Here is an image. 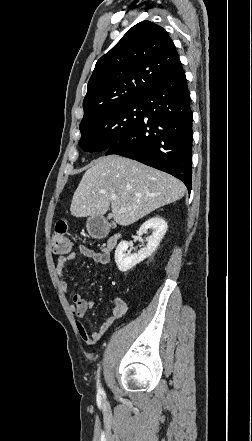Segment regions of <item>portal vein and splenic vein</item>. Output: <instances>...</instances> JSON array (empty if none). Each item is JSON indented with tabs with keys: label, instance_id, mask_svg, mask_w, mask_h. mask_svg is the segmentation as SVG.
I'll return each instance as SVG.
<instances>
[{
	"label": "portal vein and splenic vein",
	"instance_id": "18ae733b",
	"mask_svg": "<svg viewBox=\"0 0 252 441\" xmlns=\"http://www.w3.org/2000/svg\"><path fill=\"white\" fill-rule=\"evenodd\" d=\"M111 199H112V200H115V199H116V195H112V196H111ZM122 210H124V211H125V210H126V208H122Z\"/></svg>",
	"mask_w": 252,
	"mask_h": 441
}]
</instances>
